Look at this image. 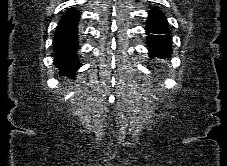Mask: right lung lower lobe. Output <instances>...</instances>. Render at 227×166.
I'll use <instances>...</instances> for the list:
<instances>
[{"label": "right lung lower lobe", "instance_id": "98d812e1", "mask_svg": "<svg viewBox=\"0 0 227 166\" xmlns=\"http://www.w3.org/2000/svg\"><path fill=\"white\" fill-rule=\"evenodd\" d=\"M79 17L77 10L69 9L60 20L54 37L55 63L69 77H74L79 68L76 60Z\"/></svg>", "mask_w": 227, "mask_h": 166}]
</instances>
